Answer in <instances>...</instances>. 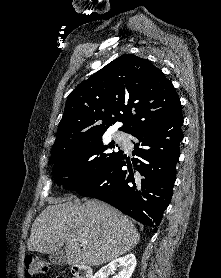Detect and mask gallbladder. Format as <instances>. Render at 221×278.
<instances>
[{
	"label": "gallbladder",
	"instance_id": "obj_1",
	"mask_svg": "<svg viewBox=\"0 0 221 278\" xmlns=\"http://www.w3.org/2000/svg\"><path fill=\"white\" fill-rule=\"evenodd\" d=\"M48 258L50 262L54 265H63L66 261L65 252L61 249L49 253Z\"/></svg>",
	"mask_w": 221,
	"mask_h": 278
}]
</instances>
